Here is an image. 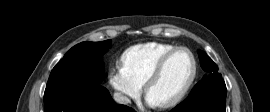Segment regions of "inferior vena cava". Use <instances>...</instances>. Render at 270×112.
Listing matches in <instances>:
<instances>
[{
  "label": "inferior vena cava",
  "instance_id": "602c4592",
  "mask_svg": "<svg viewBox=\"0 0 270 112\" xmlns=\"http://www.w3.org/2000/svg\"><path fill=\"white\" fill-rule=\"evenodd\" d=\"M114 101L119 104H128L130 103V99L127 96H124L123 94L119 92L114 93Z\"/></svg>",
  "mask_w": 270,
  "mask_h": 112
}]
</instances>
